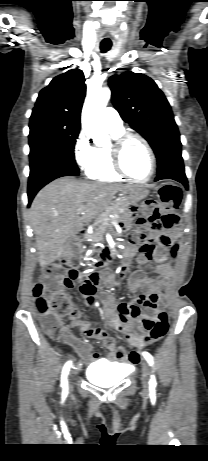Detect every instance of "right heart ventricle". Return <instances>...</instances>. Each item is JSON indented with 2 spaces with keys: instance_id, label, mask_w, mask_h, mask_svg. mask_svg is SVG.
<instances>
[{
  "instance_id": "1",
  "label": "right heart ventricle",
  "mask_w": 208,
  "mask_h": 461,
  "mask_svg": "<svg viewBox=\"0 0 208 461\" xmlns=\"http://www.w3.org/2000/svg\"><path fill=\"white\" fill-rule=\"evenodd\" d=\"M108 130L113 139L124 133L123 128ZM85 174L90 179L103 182H117L124 179L113 167L110 145L93 147L91 158L85 167Z\"/></svg>"
}]
</instances>
